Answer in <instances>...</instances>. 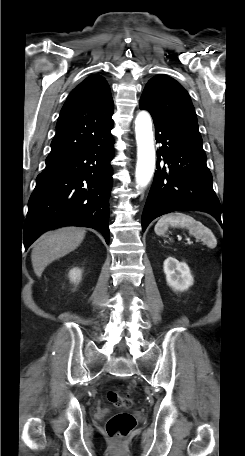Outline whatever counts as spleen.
<instances>
[{
  "mask_svg": "<svg viewBox=\"0 0 245 456\" xmlns=\"http://www.w3.org/2000/svg\"><path fill=\"white\" fill-rule=\"evenodd\" d=\"M169 226L186 228L190 235L201 239L208 246H216L212 231L187 214L176 212L162 216L155 225L154 231L157 235L164 236Z\"/></svg>",
  "mask_w": 245,
  "mask_h": 456,
  "instance_id": "1",
  "label": "spleen"
}]
</instances>
